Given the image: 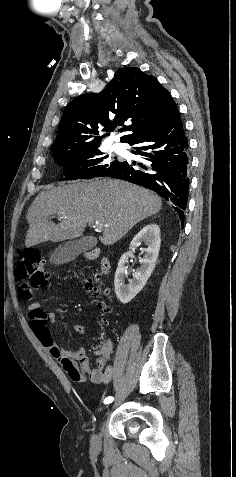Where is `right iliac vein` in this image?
<instances>
[{
	"label": "right iliac vein",
	"instance_id": "1",
	"mask_svg": "<svg viewBox=\"0 0 236 477\" xmlns=\"http://www.w3.org/2000/svg\"><path fill=\"white\" fill-rule=\"evenodd\" d=\"M109 407L111 406L110 404L108 405ZM105 413H104V416L106 418H109L111 416L110 414V408H108L107 406H105ZM91 445H92V448L94 450H100L101 448V437L97 434H93L92 438H91Z\"/></svg>",
	"mask_w": 236,
	"mask_h": 477
}]
</instances>
